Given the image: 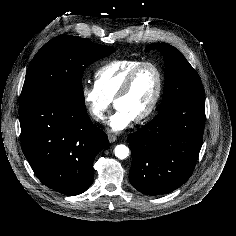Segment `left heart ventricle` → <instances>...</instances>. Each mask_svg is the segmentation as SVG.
I'll use <instances>...</instances> for the list:
<instances>
[{
  "label": "left heart ventricle",
  "mask_w": 236,
  "mask_h": 236,
  "mask_svg": "<svg viewBox=\"0 0 236 236\" xmlns=\"http://www.w3.org/2000/svg\"><path fill=\"white\" fill-rule=\"evenodd\" d=\"M157 90V74L151 67L143 68L136 76L129 92L116 103L133 118L146 111Z\"/></svg>",
  "instance_id": "left-heart-ventricle-1"
}]
</instances>
